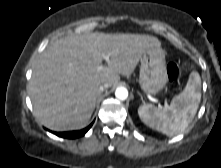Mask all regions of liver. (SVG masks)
<instances>
[{
    "instance_id": "6515ba94",
    "label": "liver",
    "mask_w": 221,
    "mask_h": 168,
    "mask_svg": "<svg viewBox=\"0 0 221 168\" xmlns=\"http://www.w3.org/2000/svg\"><path fill=\"white\" fill-rule=\"evenodd\" d=\"M152 49H161V42L143 34L94 32L54 41L33 68L29 94L35 116L54 131L85 127L100 85L118 84L120 74L131 75L143 54ZM103 54H110V60L99 70Z\"/></svg>"
}]
</instances>
